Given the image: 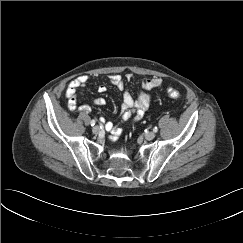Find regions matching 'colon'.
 Masks as SVG:
<instances>
[{
  "instance_id": "obj_1",
  "label": "colon",
  "mask_w": 243,
  "mask_h": 243,
  "mask_svg": "<svg viewBox=\"0 0 243 243\" xmlns=\"http://www.w3.org/2000/svg\"><path fill=\"white\" fill-rule=\"evenodd\" d=\"M167 92L171 98L178 99L180 97V92L176 89L169 88Z\"/></svg>"
}]
</instances>
